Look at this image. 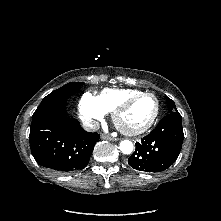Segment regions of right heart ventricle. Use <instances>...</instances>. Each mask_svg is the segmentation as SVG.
<instances>
[{
	"mask_svg": "<svg viewBox=\"0 0 221 221\" xmlns=\"http://www.w3.org/2000/svg\"><path fill=\"white\" fill-rule=\"evenodd\" d=\"M141 92L138 89H105L97 96V99L102 109L107 113L113 112L125 99Z\"/></svg>",
	"mask_w": 221,
	"mask_h": 221,
	"instance_id": "right-heart-ventricle-1",
	"label": "right heart ventricle"
}]
</instances>
